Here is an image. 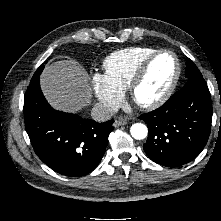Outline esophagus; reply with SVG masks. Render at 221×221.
Returning a JSON list of instances; mask_svg holds the SVG:
<instances>
[{
  "instance_id": "1",
  "label": "esophagus",
  "mask_w": 221,
  "mask_h": 221,
  "mask_svg": "<svg viewBox=\"0 0 221 221\" xmlns=\"http://www.w3.org/2000/svg\"><path fill=\"white\" fill-rule=\"evenodd\" d=\"M127 124V121L124 120V119H117L115 120L114 122V127H119V126H123V125H126Z\"/></svg>"
}]
</instances>
